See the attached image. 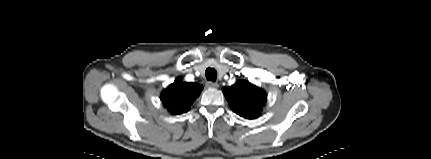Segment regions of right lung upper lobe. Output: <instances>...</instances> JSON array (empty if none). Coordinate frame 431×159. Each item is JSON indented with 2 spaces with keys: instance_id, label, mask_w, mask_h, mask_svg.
Segmentation results:
<instances>
[{
  "instance_id": "obj_1",
  "label": "right lung upper lobe",
  "mask_w": 431,
  "mask_h": 159,
  "mask_svg": "<svg viewBox=\"0 0 431 159\" xmlns=\"http://www.w3.org/2000/svg\"><path fill=\"white\" fill-rule=\"evenodd\" d=\"M202 85L198 83L182 82L177 78L173 84L164 90L161 95L163 105L173 114H181L190 110V105L197 98Z\"/></svg>"
}]
</instances>
